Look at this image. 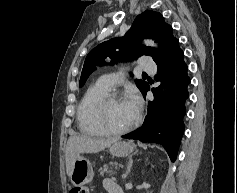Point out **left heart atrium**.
Wrapping results in <instances>:
<instances>
[{"mask_svg":"<svg viewBox=\"0 0 237 193\" xmlns=\"http://www.w3.org/2000/svg\"><path fill=\"white\" fill-rule=\"evenodd\" d=\"M128 105L133 110L135 116L139 114L141 108V99L136 93L130 94L129 98L127 99Z\"/></svg>","mask_w":237,"mask_h":193,"instance_id":"obj_1","label":"left heart atrium"}]
</instances>
